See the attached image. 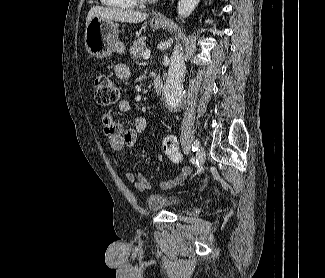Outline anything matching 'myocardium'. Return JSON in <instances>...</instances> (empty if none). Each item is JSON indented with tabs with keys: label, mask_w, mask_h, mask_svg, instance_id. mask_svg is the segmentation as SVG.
<instances>
[{
	"label": "myocardium",
	"mask_w": 325,
	"mask_h": 278,
	"mask_svg": "<svg viewBox=\"0 0 325 278\" xmlns=\"http://www.w3.org/2000/svg\"><path fill=\"white\" fill-rule=\"evenodd\" d=\"M135 1L138 2V3H151V2H153L155 0H135Z\"/></svg>",
	"instance_id": "myocardium-1"
}]
</instances>
